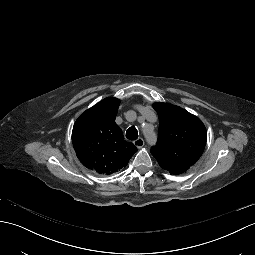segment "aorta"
I'll return each instance as SVG.
<instances>
[{
  "label": "aorta",
  "instance_id": "aorta-1",
  "mask_svg": "<svg viewBox=\"0 0 255 255\" xmlns=\"http://www.w3.org/2000/svg\"><path fill=\"white\" fill-rule=\"evenodd\" d=\"M146 139L148 143L154 144L156 142V134L150 130H146L145 132Z\"/></svg>",
  "mask_w": 255,
  "mask_h": 255
}]
</instances>
